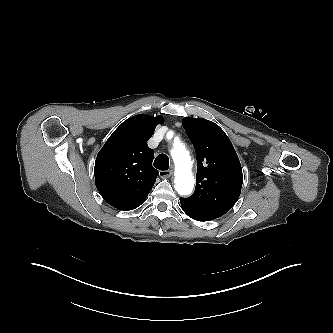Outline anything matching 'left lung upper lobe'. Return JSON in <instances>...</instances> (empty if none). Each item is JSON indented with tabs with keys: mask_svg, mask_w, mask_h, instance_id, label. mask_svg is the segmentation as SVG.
Returning <instances> with one entry per match:
<instances>
[{
	"mask_svg": "<svg viewBox=\"0 0 333 333\" xmlns=\"http://www.w3.org/2000/svg\"><path fill=\"white\" fill-rule=\"evenodd\" d=\"M183 126L196 151L197 176L195 192L180 201L222 216L241 193L243 175L235 149L214 122L185 117Z\"/></svg>",
	"mask_w": 333,
	"mask_h": 333,
	"instance_id": "obj_1",
	"label": "left lung upper lobe"
}]
</instances>
